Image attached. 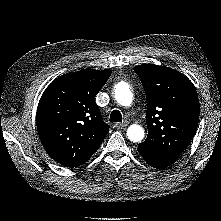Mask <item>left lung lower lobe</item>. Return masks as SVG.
<instances>
[{
    "mask_svg": "<svg viewBox=\"0 0 221 221\" xmlns=\"http://www.w3.org/2000/svg\"><path fill=\"white\" fill-rule=\"evenodd\" d=\"M141 156L145 159V161L152 167H155V168H158V169H161V168H165L169 165L167 164H164V163H161V162H158V161H155L151 158H148L147 156L141 154Z\"/></svg>",
    "mask_w": 221,
    "mask_h": 221,
    "instance_id": "1",
    "label": "left lung lower lobe"
}]
</instances>
